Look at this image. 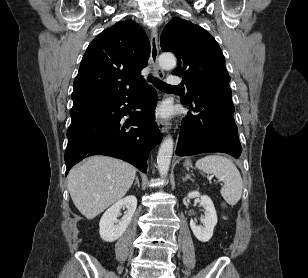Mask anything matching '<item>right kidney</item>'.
I'll return each instance as SVG.
<instances>
[{"label":"right kidney","instance_id":"obj_1","mask_svg":"<svg viewBox=\"0 0 308 278\" xmlns=\"http://www.w3.org/2000/svg\"><path fill=\"white\" fill-rule=\"evenodd\" d=\"M127 209L125 215L120 221L117 216L120 214L121 208ZM137 207V199L133 195H129L124 199L112 205L101 217L99 223L100 237L106 242L117 240L126 231Z\"/></svg>","mask_w":308,"mask_h":278}]
</instances>
